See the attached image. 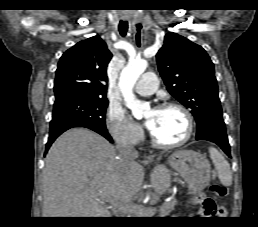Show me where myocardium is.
Here are the masks:
<instances>
[{
    "instance_id": "myocardium-1",
    "label": "myocardium",
    "mask_w": 258,
    "mask_h": 227,
    "mask_svg": "<svg viewBox=\"0 0 258 227\" xmlns=\"http://www.w3.org/2000/svg\"><path fill=\"white\" fill-rule=\"evenodd\" d=\"M167 108L177 109L184 115V117L186 119L187 129H186V133L182 139H180L176 142H172V143H165V142L160 141L150 130V139H151L152 144L155 147L162 148V149H172V148H177V147L184 145L185 143H187L190 140V138L192 137L193 132H194L193 116L184 105L176 103V102L168 101V102H163V103L158 104L155 109L163 110V109H167Z\"/></svg>"
}]
</instances>
